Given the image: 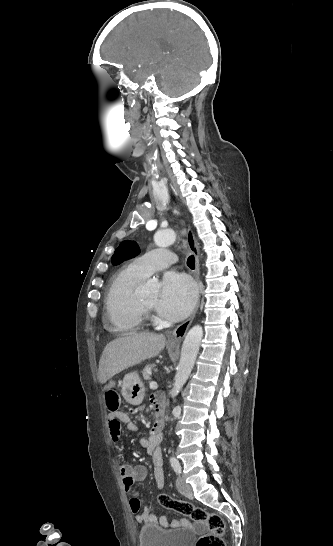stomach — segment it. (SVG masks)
Segmentation results:
<instances>
[{
	"instance_id": "1",
	"label": "stomach",
	"mask_w": 333,
	"mask_h": 546,
	"mask_svg": "<svg viewBox=\"0 0 333 546\" xmlns=\"http://www.w3.org/2000/svg\"><path fill=\"white\" fill-rule=\"evenodd\" d=\"M171 348H175L174 346ZM122 395L126 402L139 405L144 399V385L137 373L126 374L122 381Z\"/></svg>"
}]
</instances>
